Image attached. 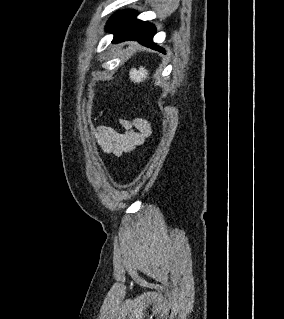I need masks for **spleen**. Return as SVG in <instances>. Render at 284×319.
<instances>
[{
  "mask_svg": "<svg viewBox=\"0 0 284 319\" xmlns=\"http://www.w3.org/2000/svg\"><path fill=\"white\" fill-rule=\"evenodd\" d=\"M131 81L134 83H140L144 81L148 76V71L144 67H140L138 70L132 68L129 72Z\"/></svg>",
  "mask_w": 284,
  "mask_h": 319,
  "instance_id": "1",
  "label": "spleen"
}]
</instances>
